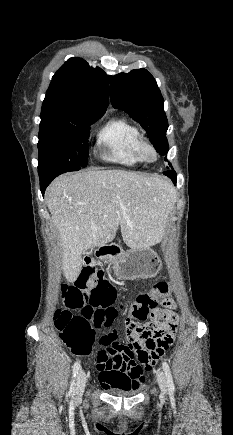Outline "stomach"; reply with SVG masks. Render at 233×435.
<instances>
[{
  "mask_svg": "<svg viewBox=\"0 0 233 435\" xmlns=\"http://www.w3.org/2000/svg\"><path fill=\"white\" fill-rule=\"evenodd\" d=\"M162 263L158 254L150 248L131 249L114 263V273L125 280L153 277L161 269Z\"/></svg>",
  "mask_w": 233,
  "mask_h": 435,
  "instance_id": "0dacf381",
  "label": "stomach"
}]
</instances>
